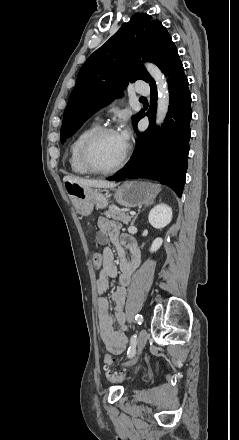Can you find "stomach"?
<instances>
[{"label":"stomach","mask_w":239,"mask_h":440,"mask_svg":"<svg viewBox=\"0 0 239 440\" xmlns=\"http://www.w3.org/2000/svg\"><path fill=\"white\" fill-rule=\"evenodd\" d=\"M66 192L74 204L77 214L90 216L93 208L103 210L109 204L108 198L101 194L99 190L92 188H81L78 184H68ZM160 192L159 184L150 182H124L115 190L114 200L120 206L126 208H141L143 204H150Z\"/></svg>","instance_id":"1"}]
</instances>
